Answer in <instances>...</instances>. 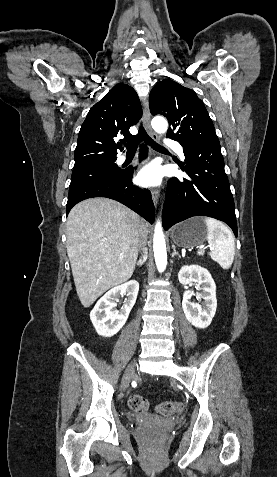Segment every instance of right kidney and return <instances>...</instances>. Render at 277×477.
Listing matches in <instances>:
<instances>
[{
  "label": "right kidney",
  "instance_id": "right-kidney-1",
  "mask_svg": "<svg viewBox=\"0 0 277 477\" xmlns=\"http://www.w3.org/2000/svg\"><path fill=\"white\" fill-rule=\"evenodd\" d=\"M138 291L139 283L136 280H130L109 290L96 303L90 313V319L99 335L111 337L119 332L136 302ZM121 295H126L127 298L123 307L116 310V302Z\"/></svg>",
  "mask_w": 277,
  "mask_h": 477
}]
</instances>
